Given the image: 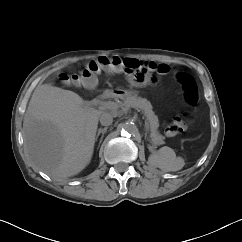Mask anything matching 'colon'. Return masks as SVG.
<instances>
[{
	"label": "colon",
	"mask_w": 242,
	"mask_h": 242,
	"mask_svg": "<svg viewBox=\"0 0 242 242\" xmlns=\"http://www.w3.org/2000/svg\"><path fill=\"white\" fill-rule=\"evenodd\" d=\"M101 70L110 72H124L134 85H144L152 82L156 74H168L171 67L167 64L155 62H142L131 58L118 56H102L90 61L82 70L76 74H63L61 79L67 83L92 85L94 76ZM176 79L183 87L184 98L188 104H195L198 99V91L194 80L186 73L177 72ZM186 128L183 118L174 119L167 127L168 135H175Z\"/></svg>",
	"instance_id": "colon-1"
}]
</instances>
